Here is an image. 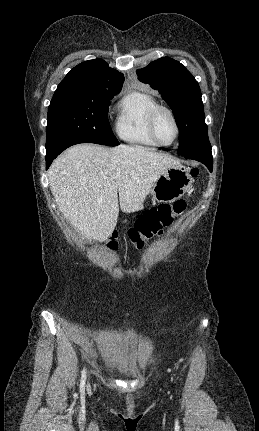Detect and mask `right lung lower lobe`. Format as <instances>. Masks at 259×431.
Listing matches in <instances>:
<instances>
[{"mask_svg": "<svg viewBox=\"0 0 259 431\" xmlns=\"http://www.w3.org/2000/svg\"><path fill=\"white\" fill-rule=\"evenodd\" d=\"M78 143H87L81 139H64L59 142L52 144L49 147H46V169L49 168L52 161L66 148L78 144Z\"/></svg>", "mask_w": 259, "mask_h": 431, "instance_id": "98d812e1", "label": "right lung lower lobe"}]
</instances>
